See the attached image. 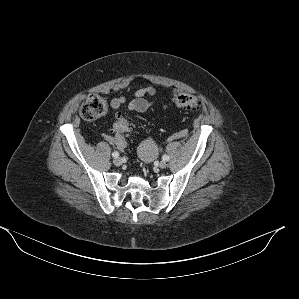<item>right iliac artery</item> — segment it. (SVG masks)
I'll use <instances>...</instances> for the list:
<instances>
[{
    "instance_id": "obj_1",
    "label": "right iliac artery",
    "mask_w": 299,
    "mask_h": 299,
    "mask_svg": "<svg viewBox=\"0 0 299 299\" xmlns=\"http://www.w3.org/2000/svg\"><path fill=\"white\" fill-rule=\"evenodd\" d=\"M112 156L115 157V158L118 157V156H119V152L114 151V152L112 153Z\"/></svg>"
}]
</instances>
